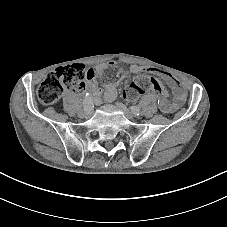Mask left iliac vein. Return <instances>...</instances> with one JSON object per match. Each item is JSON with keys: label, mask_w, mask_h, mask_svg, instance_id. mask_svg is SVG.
Returning <instances> with one entry per match:
<instances>
[{"label": "left iliac vein", "mask_w": 227, "mask_h": 227, "mask_svg": "<svg viewBox=\"0 0 227 227\" xmlns=\"http://www.w3.org/2000/svg\"><path fill=\"white\" fill-rule=\"evenodd\" d=\"M117 107L119 109H121L123 111V113L125 114V116L128 118V119H132L135 115L134 111H130L126 106H124L122 103H117ZM135 108V107H134Z\"/></svg>", "instance_id": "4c4485c4"}]
</instances>
